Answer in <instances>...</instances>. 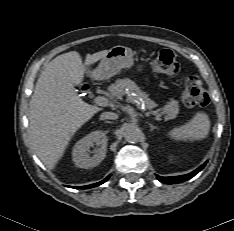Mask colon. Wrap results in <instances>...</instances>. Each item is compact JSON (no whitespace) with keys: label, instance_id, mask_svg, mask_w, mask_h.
Listing matches in <instances>:
<instances>
[{"label":"colon","instance_id":"5ec220e1","mask_svg":"<svg viewBox=\"0 0 234 231\" xmlns=\"http://www.w3.org/2000/svg\"><path fill=\"white\" fill-rule=\"evenodd\" d=\"M151 66L155 73L162 75H176L180 69L177 58L171 50H161L153 58ZM182 103L188 108L203 107L209 103L208 93L196 76L186 77Z\"/></svg>","mask_w":234,"mask_h":231}]
</instances>
